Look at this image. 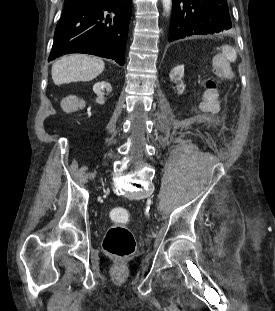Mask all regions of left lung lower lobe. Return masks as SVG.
Listing matches in <instances>:
<instances>
[{
  "label": "left lung lower lobe",
  "instance_id": "1",
  "mask_svg": "<svg viewBox=\"0 0 275 311\" xmlns=\"http://www.w3.org/2000/svg\"><path fill=\"white\" fill-rule=\"evenodd\" d=\"M169 41L215 34L232 27L226 0H172Z\"/></svg>",
  "mask_w": 275,
  "mask_h": 311
}]
</instances>
